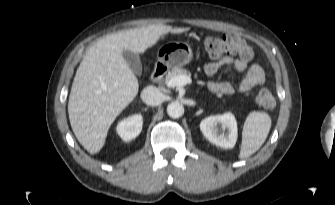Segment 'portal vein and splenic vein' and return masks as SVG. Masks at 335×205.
<instances>
[{
    "label": "portal vein and splenic vein",
    "instance_id": "obj_1",
    "mask_svg": "<svg viewBox=\"0 0 335 205\" xmlns=\"http://www.w3.org/2000/svg\"><path fill=\"white\" fill-rule=\"evenodd\" d=\"M192 80L189 76L178 75L172 77L168 82H166L168 87H178L191 84Z\"/></svg>",
    "mask_w": 335,
    "mask_h": 205
}]
</instances>
